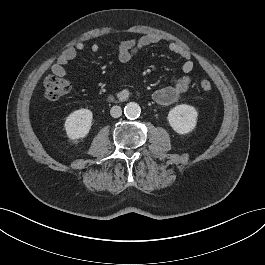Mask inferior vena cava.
I'll return each instance as SVG.
<instances>
[{
	"instance_id": "602c4592",
	"label": "inferior vena cava",
	"mask_w": 265,
	"mask_h": 265,
	"mask_svg": "<svg viewBox=\"0 0 265 265\" xmlns=\"http://www.w3.org/2000/svg\"><path fill=\"white\" fill-rule=\"evenodd\" d=\"M110 114L114 118H118L122 114V109L120 106H113L110 110Z\"/></svg>"
}]
</instances>
